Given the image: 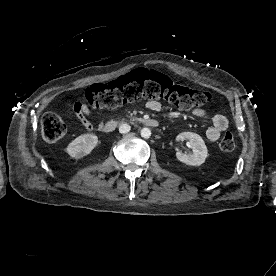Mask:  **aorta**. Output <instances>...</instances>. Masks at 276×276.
<instances>
[{
  "label": "aorta",
  "mask_w": 276,
  "mask_h": 276,
  "mask_svg": "<svg viewBox=\"0 0 276 276\" xmlns=\"http://www.w3.org/2000/svg\"><path fill=\"white\" fill-rule=\"evenodd\" d=\"M141 136L145 139L149 138L151 136V130L149 128L141 129Z\"/></svg>",
  "instance_id": "aorta-1"
}]
</instances>
